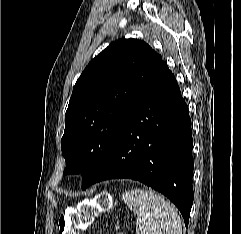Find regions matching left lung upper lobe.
I'll list each match as a JSON object with an SVG mask.
<instances>
[{
  "mask_svg": "<svg viewBox=\"0 0 241 234\" xmlns=\"http://www.w3.org/2000/svg\"><path fill=\"white\" fill-rule=\"evenodd\" d=\"M163 62L147 43H111L78 78L65 114L64 174L82 173L87 188L103 165L130 108Z\"/></svg>",
  "mask_w": 241,
  "mask_h": 234,
  "instance_id": "5c2ea615",
  "label": "left lung upper lobe"
}]
</instances>
